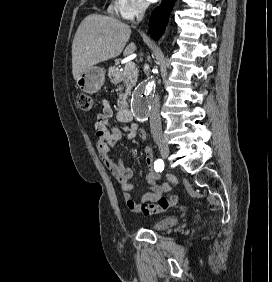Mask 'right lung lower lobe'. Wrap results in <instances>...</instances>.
Segmentation results:
<instances>
[{"mask_svg":"<svg viewBox=\"0 0 272 282\" xmlns=\"http://www.w3.org/2000/svg\"><path fill=\"white\" fill-rule=\"evenodd\" d=\"M174 2L175 0H164L160 8L157 7L153 11L149 21L150 34L153 39L158 40L164 33Z\"/></svg>","mask_w":272,"mask_h":282,"instance_id":"right-lung-lower-lobe-1","label":"right lung lower lobe"}]
</instances>
